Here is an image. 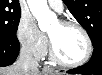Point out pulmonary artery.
<instances>
[{
    "label": "pulmonary artery",
    "instance_id": "1",
    "mask_svg": "<svg viewBox=\"0 0 102 75\" xmlns=\"http://www.w3.org/2000/svg\"><path fill=\"white\" fill-rule=\"evenodd\" d=\"M49 5L55 9L57 12L61 13L63 10L62 0H48Z\"/></svg>",
    "mask_w": 102,
    "mask_h": 75
}]
</instances>
